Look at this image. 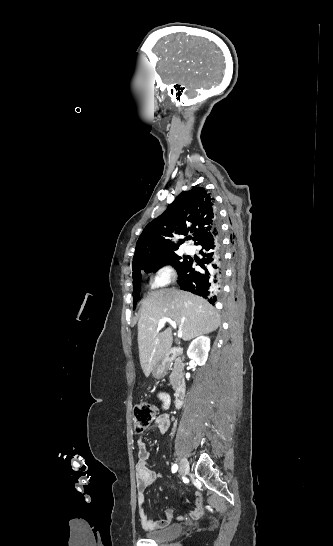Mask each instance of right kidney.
<instances>
[{
	"instance_id": "obj_1",
	"label": "right kidney",
	"mask_w": 333,
	"mask_h": 546,
	"mask_svg": "<svg viewBox=\"0 0 333 546\" xmlns=\"http://www.w3.org/2000/svg\"><path fill=\"white\" fill-rule=\"evenodd\" d=\"M209 350V337L201 336L191 342L187 350V355L191 360L196 362L197 365L202 366L207 361Z\"/></svg>"
}]
</instances>
